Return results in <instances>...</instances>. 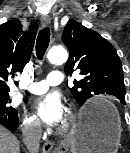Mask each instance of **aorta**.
Returning <instances> with one entry per match:
<instances>
[{"label":"aorta","mask_w":130,"mask_h":153,"mask_svg":"<svg viewBox=\"0 0 130 153\" xmlns=\"http://www.w3.org/2000/svg\"><path fill=\"white\" fill-rule=\"evenodd\" d=\"M47 59L52 64H63L68 59V53L63 47H53L48 51Z\"/></svg>","instance_id":"aorta-1"}]
</instances>
